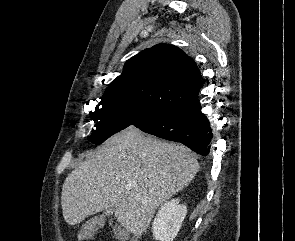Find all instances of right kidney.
<instances>
[{
  "label": "right kidney",
  "mask_w": 295,
  "mask_h": 241,
  "mask_svg": "<svg viewBox=\"0 0 295 241\" xmlns=\"http://www.w3.org/2000/svg\"><path fill=\"white\" fill-rule=\"evenodd\" d=\"M179 199L164 203L159 209L152 225L153 236L159 241H173L177 236L187 214L185 205Z\"/></svg>",
  "instance_id": "obj_1"
}]
</instances>
